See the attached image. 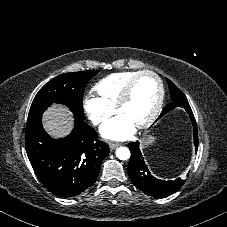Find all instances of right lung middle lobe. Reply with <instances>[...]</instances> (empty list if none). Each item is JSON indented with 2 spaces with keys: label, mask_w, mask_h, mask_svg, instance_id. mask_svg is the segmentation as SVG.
<instances>
[{
  "label": "right lung middle lobe",
  "mask_w": 227,
  "mask_h": 227,
  "mask_svg": "<svg viewBox=\"0 0 227 227\" xmlns=\"http://www.w3.org/2000/svg\"><path fill=\"white\" fill-rule=\"evenodd\" d=\"M99 71H81L61 74L45 84L36 94L27 122L42 116L53 103L66 105L76 117L85 118L83 92L87 82Z\"/></svg>",
  "instance_id": "obj_1"
}]
</instances>
